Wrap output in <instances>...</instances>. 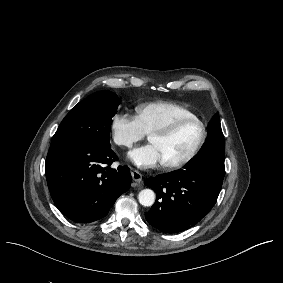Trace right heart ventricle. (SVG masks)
Returning <instances> with one entry per match:
<instances>
[{
  "mask_svg": "<svg viewBox=\"0 0 283 283\" xmlns=\"http://www.w3.org/2000/svg\"><path fill=\"white\" fill-rule=\"evenodd\" d=\"M137 117L147 134L163 130L175 119L193 115L187 108L170 102H150L136 107Z\"/></svg>",
  "mask_w": 283,
  "mask_h": 283,
  "instance_id": "obj_1",
  "label": "right heart ventricle"
}]
</instances>
